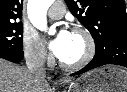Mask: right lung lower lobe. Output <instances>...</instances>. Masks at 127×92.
Returning a JSON list of instances; mask_svg holds the SVG:
<instances>
[{"instance_id":"1","label":"right lung lower lobe","mask_w":127,"mask_h":92,"mask_svg":"<svg viewBox=\"0 0 127 92\" xmlns=\"http://www.w3.org/2000/svg\"><path fill=\"white\" fill-rule=\"evenodd\" d=\"M24 54L23 51H13L3 47H0V58L6 59L11 62H19L22 60Z\"/></svg>"}]
</instances>
